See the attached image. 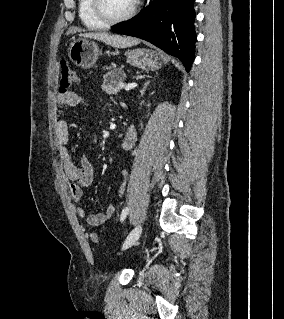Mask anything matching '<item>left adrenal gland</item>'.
I'll list each match as a JSON object with an SVG mask.
<instances>
[{"mask_svg":"<svg viewBox=\"0 0 284 319\" xmlns=\"http://www.w3.org/2000/svg\"><path fill=\"white\" fill-rule=\"evenodd\" d=\"M150 80L146 81L143 88L140 90V97H142L147 89V86L149 85Z\"/></svg>","mask_w":284,"mask_h":319,"instance_id":"obj_1","label":"left adrenal gland"}]
</instances>
